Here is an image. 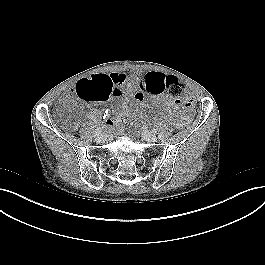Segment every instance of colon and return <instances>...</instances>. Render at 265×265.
I'll use <instances>...</instances> for the list:
<instances>
[{"mask_svg":"<svg viewBox=\"0 0 265 265\" xmlns=\"http://www.w3.org/2000/svg\"><path fill=\"white\" fill-rule=\"evenodd\" d=\"M167 89L166 93L173 97L178 98L183 109L190 112L194 108V98L184 93V86L179 79L173 75H167L164 79ZM112 90L108 81L104 78H96L92 81L79 80L75 87L67 93V97L77 96L84 101H103L109 98ZM135 107L138 108L143 102V95H135ZM78 122L75 117L66 120L68 128H75Z\"/></svg>","mask_w":265,"mask_h":265,"instance_id":"obj_1","label":"colon"}]
</instances>
